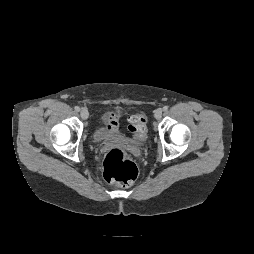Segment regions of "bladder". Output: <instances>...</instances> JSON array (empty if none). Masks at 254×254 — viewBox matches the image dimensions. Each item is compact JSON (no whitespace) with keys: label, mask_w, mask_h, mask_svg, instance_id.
Listing matches in <instances>:
<instances>
[{"label":"bladder","mask_w":254,"mask_h":254,"mask_svg":"<svg viewBox=\"0 0 254 254\" xmlns=\"http://www.w3.org/2000/svg\"><path fill=\"white\" fill-rule=\"evenodd\" d=\"M93 136L97 142H102L112 137H122L124 135L121 132L110 131L106 128L99 127L94 131Z\"/></svg>","instance_id":"bladder-1"}]
</instances>
